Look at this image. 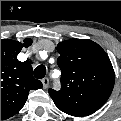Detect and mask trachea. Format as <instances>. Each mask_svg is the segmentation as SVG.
I'll use <instances>...</instances> for the list:
<instances>
[{
	"label": "trachea",
	"instance_id": "obj_1",
	"mask_svg": "<svg viewBox=\"0 0 121 121\" xmlns=\"http://www.w3.org/2000/svg\"><path fill=\"white\" fill-rule=\"evenodd\" d=\"M46 75V67L44 65H39L34 70V76L37 79H42Z\"/></svg>",
	"mask_w": 121,
	"mask_h": 121
}]
</instances>
